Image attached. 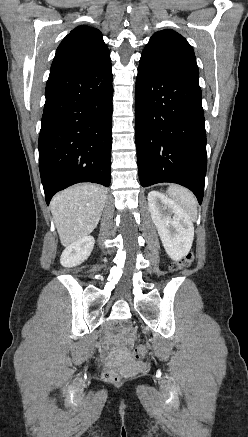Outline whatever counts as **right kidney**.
<instances>
[{
    "instance_id": "1",
    "label": "right kidney",
    "mask_w": 248,
    "mask_h": 437,
    "mask_svg": "<svg viewBox=\"0 0 248 437\" xmlns=\"http://www.w3.org/2000/svg\"><path fill=\"white\" fill-rule=\"evenodd\" d=\"M94 243L95 240L92 236H85L70 244L61 255V265L64 267L80 265L90 256Z\"/></svg>"
}]
</instances>
